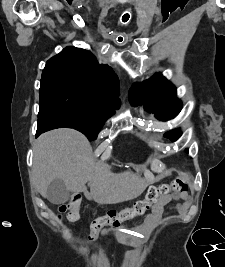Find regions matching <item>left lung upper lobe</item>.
Instances as JSON below:
<instances>
[{
  "mask_svg": "<svg viewBox=\"0 0 225 267\" xmlns=\"http://www.w3.org/2000/svg\"><path fill=\"white\" fill-rule=\"evenodd\" d=\"M129 93L132 105L143 104L145 110L155 113V117L162 121L173 119L182 108L181 101L176 98L175 86L161 73H156L142 83H134ZM180 136L179 130L165 133V137L172 141H176Z\"/></svg>",
  "mask_w": 225,
  "mask_h": 267,
  "instance_id": "5c2ea615",
  "label": "left lung upper lobe"
}]
</instances>
